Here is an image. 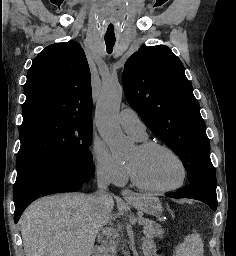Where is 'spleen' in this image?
Segmentation results:
<instances>
[{
  "mask_svg": "<svg viewBox=\"0 0 236 256\" xmlns=\"http://www.w3.org/2000/svg\"><path fill=\"white\" fill-rule=\"evenodd\" d=\"M203 242L199 234H190L186 236L183 244H180L176 250V256H203Z\"/></svg>",
  "mask_w": 236,
  "mask_h": 256,
  "instance_id": "1",
  "label": "spleen"
}]
</instances>
